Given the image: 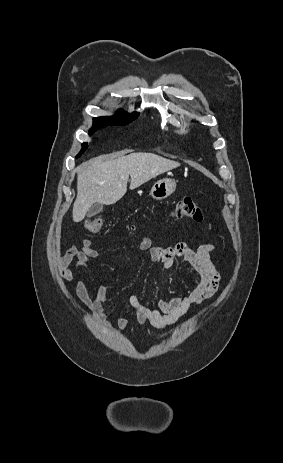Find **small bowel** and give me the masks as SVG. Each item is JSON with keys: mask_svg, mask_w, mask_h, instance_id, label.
<instances>
[{"mask_svg": "<svg viewBox=\"0 0 283 463\" xmlns=\"http://www.w3.org/2000/svg\"><path fill=\"white\" fill-rule=\"evenodd\" d=\"M139 249L150 253L152 264H160L164 268H170L176 259L186 261L197 273L198 278L187 276L190 286L184 294L175 296L169 300H159L155 306L143 302L137 296H131L122 309H131L137 314L140 326L150 324L156 329H164L174 325L187 312L197 304L212 298L219 289L220 274L213 264L210 255L214 250L212 244L200 245L193 249L185 242H180L172 247H160L152 243L151 239L144 237L139 242ZM99 256L97 249L91 246L88 239L83 241L82 247H69L61 256L59 266L61 275L66 281L73 279V270L84 268L90 270V261ZM77 297L100 320H104L103 307L109 303L106 285L101 284L95 295L90 296L85 280H79L76 285ZM128 321L119 316L117 329L124 330Z\"/></svg>", "mask_w": 283, "mask_h": 463, "instance_id": "c3829d8e", "label": "small bowel"}]
</instances>
